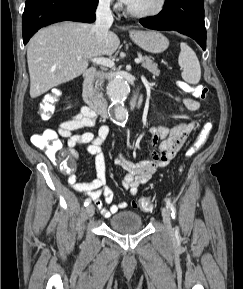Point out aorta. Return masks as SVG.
<instances>
[{
  "instance_id": "1",
  "label": "aorta",
  "mask_w": 243,
  "mask_h": 289,
  "mask_svg": "<svg viewBox=\"0 0 243 289\" xmlns=\"http://www.w3.org/2000/svg\"><path fill=\"white\" fill-rule=\"evenodd\" d=\"M129 91L128 83L122 78H115L108 85V95L112 102L114 118L123 127L128 120V111L124 102Z\"/></svg>"
}]
</instances>
